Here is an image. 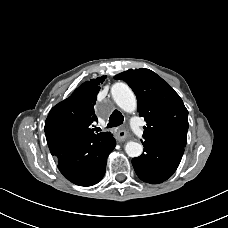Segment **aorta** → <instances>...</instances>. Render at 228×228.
Returning a JSON list of instances; mask_svg holds the SVG:
<instances>
[{"instance_id": "762f6f07", "label": "aorta", "mask_w": 228, "mask_h": 228, "mask_svg": "<svg viewBox=\"0 0 228 228\" xmlns=\"http://www.w3.org/2000/svg\"><path fill=\"white\" fill-rule=\"evenodd\" d=\"M111 93L114 101L122 110L128 113L136 110V97L127 84L115 83L111 88ZM125 151L132 158L139 157L143 152V146L140 143L130 141L125 145Z\"/></svg>"}]
</instances>
